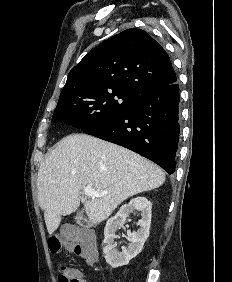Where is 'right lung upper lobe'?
Wrapping results in <instances>:
<instances>
[{"label":"right lung upper lobe","instance_id":"obj_1","mask_svg":"<svg viewBox=\"0 0 232 282\" xmlns=\"http://www.w3.org/2000/svg\"><path fill=\"white\" fill-rule=\"evenodd\" d=\"M177 80L163 47L147 32L128 29L107 39L70 72L59 101L80 94L126 90L141 95ZM58 101V102H59Z\"/></svg>","mask_w":232,"mask_h":282}]
</instances>
